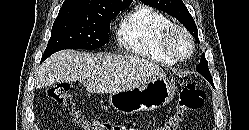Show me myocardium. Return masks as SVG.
Returning <instances> with one entry per match:
<instances>
[{
    "mask_svg": "<svg viewBox=\"0 0 249 130\" xmlns=\"http://www.w3.org/2000/svg\"><path fill=\"white\" fill-rule=\"evenodd\" d=\"M177 35H183L189 42L190 52L186 57L178 56L173 50V41ZM161 47L163 52L174 62H185L189 60L195 52V42L190 32L183 26L172 24L162 36Z\"/></svg>",
    "mask_w": 249,
    "mask_h": 130,
    "instance_id": "myocardium-1",
    "label": "myocardium"
}]
</instances>
